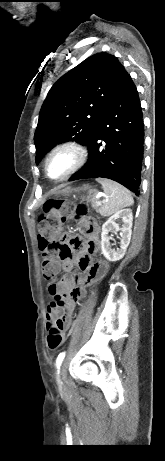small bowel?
I'll return each instance as SVG.
<instances>
[{
    "label": "small bowel",
    "instance_id": "obj_1",
    "mask_svg": "<svg viewBox=\"0 0 165 461\" xmlns=\"http://www.w3.org/2000/svg\"><path fill=\"white\" fill-rule=\"evenodd\" d=\"M75 214L79 217H84L86 210L77 209ZM79 223L86 230V243H83L84 239L79 235L66 237V245H75L77 251H59V256L51 259L56 273L62 269L65 274L58 282L51 283L48 286V293L53 297V301L47 306V325L55 320L62 311L63 329L70 326L76 304L84 297L86 286L106 272L105 262L101 267L91 261V255L95 254L100 246L97 225L93 220L86 218H79ZM75 263L83 273L69 274Z\"/></svg>",
    "mask_w": 165,
    "mask_h": 461
}]
</instances>
